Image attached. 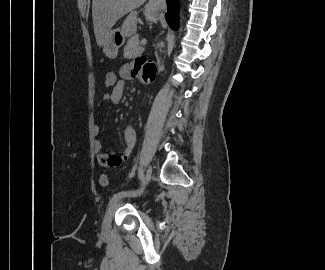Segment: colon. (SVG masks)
I'll return each mask as SVG.
<instances>
[{
	"label": "colon",
	"instance_id": "1",
	"mask_svg": "<svg viewBox=\"0 0 325 270\" xmlns=\"http://www.w3.org/2000/svg\"><path fill=\"white\" fill-rule=\"evenodd\" d=\"M104 83L107 88H114L119 83V76L116 74L115 71L109 70L106 72L104 77ZM99 183L101 186H107L108 185V176L105 174H102L99 177Z\"/></svg>",
	"mask_w": 325,
	"mask_h": 270
}]
</instances>
